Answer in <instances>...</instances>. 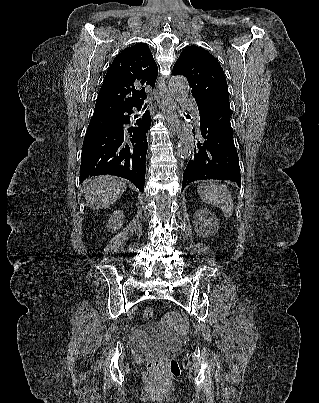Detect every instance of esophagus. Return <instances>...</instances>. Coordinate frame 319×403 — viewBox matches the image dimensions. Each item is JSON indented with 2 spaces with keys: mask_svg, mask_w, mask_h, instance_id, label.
<instances>
[{
  "mask_svg": "<svg viewBox=\"0 0 319 403\" xmlns=\"http://www.w3.org/2000/svg\"><path fill=\"white\" fill-rule=\"evenodd\" d=\"M158 91L161 102L165 108V115L167 124L174 135H177L180 131L179 129V119L176 113V107L173 102L171 95L169 94L166 87V80L164 77L159 79Z\"/></svg>",
  "mask_w": 319,
  "mask_h": 403,
  "instance_id": "esophagus-1",
  "label": "esophagus"
}]
</instances>
